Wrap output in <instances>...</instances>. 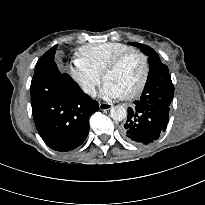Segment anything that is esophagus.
<instances>
[{
	"mask_svg": "<svg viewBox=\"0 0 205 205\" xmlns=\"http://www.w3.org/2000/svg\"><path fill=\"white\" fill-rule=\"evenodd\" d=\"M99 108H100V110H109L112 108V105L109 103L101 102V103H99Z\"/></svg>",
	"mask_w": 205,
	"mask_h": 205,
	"instance_id": "obj_1",
	"label": "esophagus"
}]
</instances>
